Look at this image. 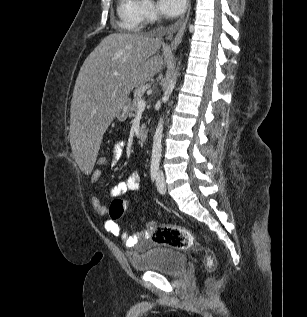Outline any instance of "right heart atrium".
Segmentation results:
<instances>
[{
    "mask_svg": "<svg viewBox=\"0 0 307 317\" xmlns=\"http://www.w3.org/2000/svg\"><path fill=\"white\" fill-rule=\"evenodd\" d=\"M140 11L143 22L151 23L158 18L155 6L150 0H141Z\"/></svg>",
    "mask_w": 307,
    "mask_h": 317,
    "instance_id": "right-heart-atrium-1",
    "label": "right heart atrium"
}]
</instances>
